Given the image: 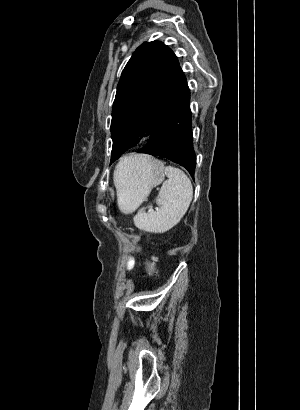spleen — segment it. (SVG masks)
Here are the masks:
<instances>
[{"mask_svg":"<svg viewBox=\"0 0 300 410\" xmlns=\"http://www.w3.org/2000/svg\"><path fill=\"white\" fill-rule=\"evenodd\" d=\"M134 159L124 158L116 166L114 182L117 188L121 185V174L124 170L133 168ZM168 180L165 181L156 198L159 210L151 208L146 213L140 209L134 216L136 227L150 233H164L177 225L187 212L193 198V187L188 176L179 168L165 167Z\"/></svg>","mask_w":300,"mask_h":410,"instance_id":"3e777b00","label":"spleen"}]
</instances>
